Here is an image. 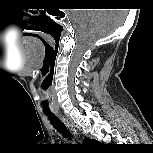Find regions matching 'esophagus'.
Wrapping results in <instances>:
<instances>
[{"mask_svg":"<svg viewBox=\"0 0 153 153\" xmlns=\"http://www.w3.org/2000/svg\"><path fill=\"white\" fill-rule=\"evenodd\" d=\"M61 120L70 128V130L72 131V133L74 134V136H76L77 138H80L76 128L73 126V124H71L70 122H68V120H66V118H64L63 116L59 115Z\"/></svg>","mask_w":153,"mask_h":153,"instance_id":"1","label":"esophagus"}]
</instances>
